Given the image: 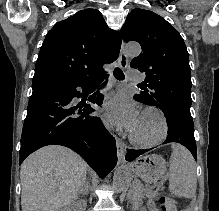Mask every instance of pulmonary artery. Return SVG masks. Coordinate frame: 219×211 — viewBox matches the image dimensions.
I'll return each instance as SVG.
<instances>
[{"label":"pulmonary artery","mask_w":219,"mask_h":211,"mask_svg":"<svg viewBox=\"0 0 219 211\" xmlns=\"http://www.w3.org/2000/svg\"><path fill=\"white\" fill-rule=\"evenodd\" d=\"M129 74H138V69H129ZM142 75H130L129 76V79L130 80H142ZM108 90H110V86H106V87H104L102 90H101V92L102 93H105V92H107Z\"/></svg>","instance_id":"obj_1"}]
</instances>
